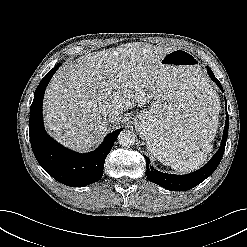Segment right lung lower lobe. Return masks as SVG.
<instances>
[{
  "label": "right lung lower lobe",
  "instance_id": "1",
  "mask_svg": "<svg viewBox=\"0 0 247 247\" xmlns=\"http://www.w3.org/2000/svg\"><path fill=\"white\" fill-rule=\"evenodd\" d=\"M60 65H56L41 80L30 108L29 135L32 150L40 166L55 180L71 187H81L99 181L103 176L104 162L121 129L108 134L93 152H73L48 136L42 118L45 88Z\"/></svg>",
  "mask_w": 247,
  "mask_h": 247
}]
</instances>
